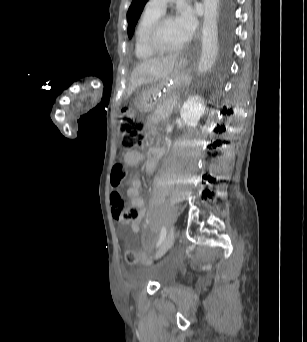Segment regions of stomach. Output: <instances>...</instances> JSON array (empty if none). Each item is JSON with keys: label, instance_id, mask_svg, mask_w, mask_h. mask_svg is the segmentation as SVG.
<instances>
[{"label": "stomach", "instance_id": "1", "mask_svg": "<svg viewBox=\"0 0 307 342\" xmlns=\"http://www.w3.org/2000/svg\"><path fill=\"white\" fill-rule=\"evenodd\" d=\"M190 69L191 60L184 56L178 57L173 69L163 80L146 85L137 91L133 100L134 108L149 112L154 110L164 99L170 96L179 97L190 84Z\"/></svg>", "mask_w": 307, "mask_h": 342}]
</instances>
